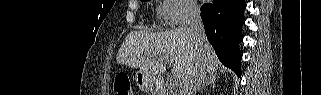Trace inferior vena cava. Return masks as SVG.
Wrapping results in <instances>:
<instances>
[{"instance_id": "obj_1", "label": "inferior vena cava", "mask_w": 321, "mask_h": 95, "mask_svg": "<svg viewBox=\"0 0 321 95\" xmlns=\"http://www.w3.org/2000/svg\"><path fill=\"white\" fill-rule=\"evenodd\" d=\"M188 16L189 29L193 34L196 44L202 47L206 41V36L198 6L191 5L188 8ZM205 78L206 70L203 63L200 62V64L194 69V71L188 74V76L186 77L184 85L179 90V95H194Z\"/></svg>"}]
</instances>
